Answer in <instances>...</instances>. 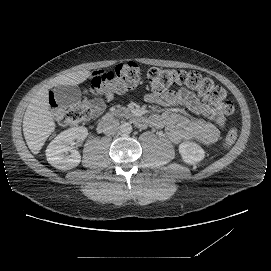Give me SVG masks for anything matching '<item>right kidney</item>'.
<instances>
[{"label":"right kidney","mask_w":271,"mask_h":271,"mask_svg":"<svg viewBox=\"0 0 271 271\" xmlns=\"http://www.w3.org/2000/svg\"><path fill=\"white\" fill-rule=\"evenodd\" d=\"M88 129L83 126L73 127L58 134L46 149L47 160L58 169L74 168L80 163V154L75 146L77 142L85 140Z\"/></svg>","instance_id":"right-kidney-1"}]
</instances>
